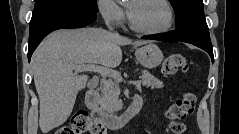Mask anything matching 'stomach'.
Masks as SVG:
<instances>
[{
	"label": "stomach",
	"mask_w": 239,
	"mask_h": 134,
	"mask_svg": "<svg viewBox=\"0 0 239 134\" xmlns=\"http://www.w3.org/2000/svg\"><path fill=\"white\" fill-rule=\"evenodd\" d=\"M135 56L140 64L147 69L156 68L164 58L160 48L153 43H148L136 49Z\"/></svg>",
	"instance_id": "1"
}]
</instances>
